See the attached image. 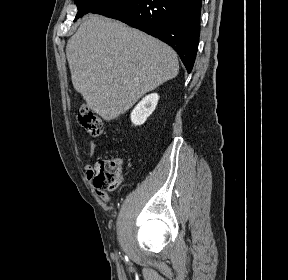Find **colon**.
<instances>
[{
	"label": "colon",
	"mask_w": 288,
	"mask_h": 280,
	"mask_svg": "<svg viewBox=\"0 0 288 280\" xmlns=\"http://www.w3.org/2000/svg\"><path fill=\"white\" fill-rule=\"evenodd\" d=\"M78 121L91 136H99L103 125L99 117L86 105L78 113ZM123 161L120 158L99 159L94 167V185L98 188L116 189L122 177Z\"/></svg>",
	"instance_id": "obj_1"
}]
</instances>
